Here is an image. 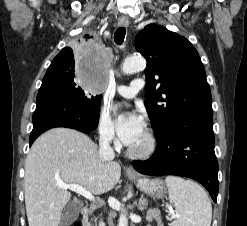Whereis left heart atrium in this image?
Listing matches in <instances>:
<instances>
[{"mask_svg": "<svg viewBox=\"0 0 247 226\" xmlns=\"http://www.w3.org/2000/svg\"><path fill=\"white\" fill-rule=\"evenodd\" d=\"M117 130L122 142L130 146L144 133L145 123L138 112L121 109Z\"/></svg>", "mask_w": 247, "mask_h": 226, "instance_id": "obj_1", "label": "left heart atrium"}]
</instances>
